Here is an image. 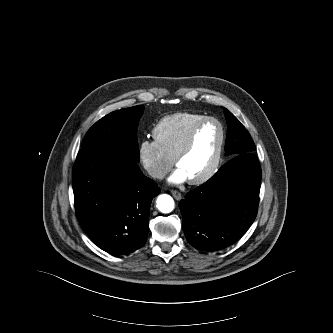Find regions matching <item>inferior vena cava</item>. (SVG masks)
Segmentation results:
<instances>
[{
  "instance_id": "1",
  "label": "inferior vena cava",
  "mask_w": 333,
  "mask_h": 333,
  "mask_svg": "<svg viewBox=\"0 0 333 333\" xmlns=\"http://www.w3.org/2000/svg\"><path fill=\"white\" fill-rule=\"evenodd\" d=\"M148 174L153 178L163 179L166 172L158 167H150L148 169Z\"/></svg>"
}]
</instances>
